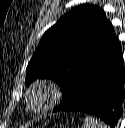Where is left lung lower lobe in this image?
<instances>
[{"instance_id": "1", "label": "left lung lower lobe", "mask_w": 125, "mask_h": 128, "mask_svg": "<svg viewBox=\"0 0 125 128\" xmlns=\"http://www.w3.org/2000/svg\"><path fill=\"white\" fill-rule=\"evenodd\" d=\"M124 78L122 48L118 41L88 71L74 100L58 111L91 114L115 127L123 113Z\"/></svg>"}]
</instances>
